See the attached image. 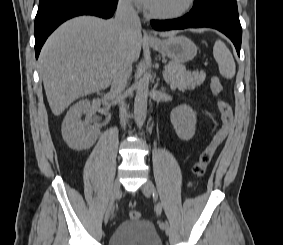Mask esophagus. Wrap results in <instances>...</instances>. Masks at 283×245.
Wrapping results in <instances>:
<instances>
[{
  "mask_svg": "<svg viewBox=\"0 0 283 245\" xmlns=\"http://www.w3.org/2000/svg\"><path fill=\"white\" fill-rule=\"evenodd\" d=\"M144 38H145L146 40H149V41H153V40L156 39L155 36H154L152 33H150V32L145 33V34H144Z\"/></svg>",
  "mask_w": 283,
  "mask_h": 245,
  "instance_id": "34e87169",
  "label": "esophagus"
}]
</instances>
